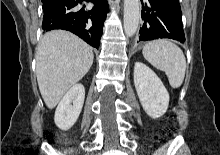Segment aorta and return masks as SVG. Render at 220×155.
<instances>
[{
  "mask_svg": "<svg viewBox=\"0 0 220 155\" xmlns=\"http://www.w3.org/2000/svg\"><path fill=\"white\" fill-rule=\"evenodd\" d=\"M139 5V0H124V32L128 37H132L139 26Z\"/></svg>",
  "mask_w": 220,
  "mask_h": 155,
  "instance_id": "762f6f07",
  "label": "aorta"
}]
</instances>
